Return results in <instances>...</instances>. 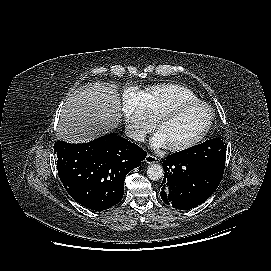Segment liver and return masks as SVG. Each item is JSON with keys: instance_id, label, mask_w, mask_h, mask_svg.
I'll list each match as a JSON object with an SVG mask.
<instances>
[{"instance_id": "obj_1", "label": "liver", "mask_w": 271, "mask_h": 271, "mask_svg": "<svg viewBox=\"0 0 271 271\" xmlns=\"http://www.w3.org/2000/svg\"><path fill=\"white\" fill-rule=\"evenodd\" d=\"M121 101L115 85L90 83L67 98L56 137L71 143L88 142L109 133L121 121Z\"/></svg>"}]
</instances>
